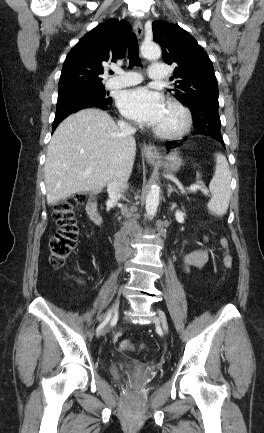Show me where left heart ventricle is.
<instances>
[{"label": "left heart ventricle", "mask_w": 264, "mask_h": 433, "mask_svg": "<svg viewBox=\"0 0 264 433\" xmlns=\"http://www.w3.org/2000/svg\"><path fill=\"white\" fill-rule=\"evenodd\" d=\"M180 121V115L176 111L166 107L164 116L161 121L156 125V127L162 129H172L175 128L180 123Z\"/></svg>", "instance_id": "b2bd125f"}]
</instances>
